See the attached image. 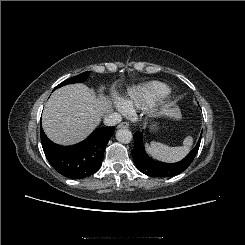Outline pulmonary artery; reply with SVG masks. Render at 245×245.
<instances>
[{
  "instance_id": "1",
  "label": "pulmonary artery",
  "mask_w": 245,
  "mask_h": 245,
  "mask_svg": "<svg viewBox=\"0 0 245 245\" xmlns=\"http://www.w3.org/2000/svg\"><path fill=\"white\" fill-rule=\"evenodd\" d=\"M121 112L128 113V112H129V110H128V109H126V108L123 106V108H122Z\"/></svg>"
}]
</instances>
